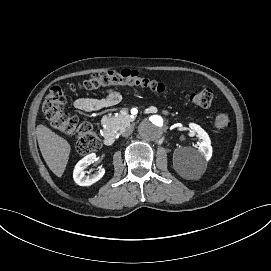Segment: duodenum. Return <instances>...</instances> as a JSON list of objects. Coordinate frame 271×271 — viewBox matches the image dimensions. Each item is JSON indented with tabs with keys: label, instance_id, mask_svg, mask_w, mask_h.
Instances as JSON below:
<instances>
[{
	"label": "duodenum",
	"instance_id": "410a0bca",
	"mask_svg": "<svg viewBox=\"0 0 271 271\" xmlns=\"http://www.w3.org/2000/svg\"><path fill=\"white\" fill-rule=\"evenodd\" d=\"M103 142L106 146H112L115 142V137L112 133H106L103 136Z\"/></svg>",
	"mask_w": 271,
	"mask_h": 271
}]
</instances>
